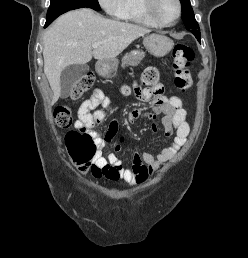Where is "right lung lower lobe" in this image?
<instances>
[{"label":"right lung lower lobe","mask_w":248,"mask_h":258,"mask_svg":"<svg viewBox=\"0 0 248 258\" xmlns=\"http://www.w3.org/2000/svg\"><path fill=\"white\" fill-rule=\"evenodd\" d=\"M53 20L46 21L45 27H47Z\"/></svg>","instance_id":"98d812e1"}]
</instances>
